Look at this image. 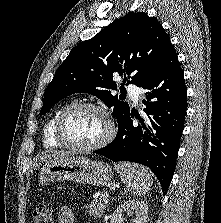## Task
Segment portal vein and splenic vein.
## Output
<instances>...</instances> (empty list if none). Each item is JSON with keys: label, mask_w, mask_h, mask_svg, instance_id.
<instances>
[{"label": "portal vein and splenic vein", "mask_w": 221, "mask_h": 223, "mask_svg": "<svg viewBox=\"0 0 221 223\" xmlns=\"http://www.w3.org/2000/svg\"><path fill=\"white\" fill-rule=\"evenodd\" d=\"M103 194H104V195H107V194H108V192H104Z\"/></svg>", "instance_id": "18ae733b"}]
</instances>
